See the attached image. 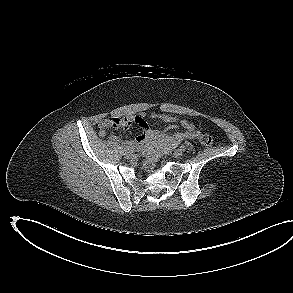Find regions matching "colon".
Returning a JSON list of instances; mask_svg holds the SVG:
<instances>
[{"label":"colon","mask_w":293,"mask_h":293,"mask_svg":"<svg viewBox=\"0 0 293 293\" xmlns=\"http://www.w3.org/2000/svg\"><path fill=\"white\" fill-rule=\"evenodd\" d=\"M200 142L206 147H210L213 144V138L209 134H202L200 136ZM175 146L171 143H166L164 145L158 146L156 148L150 149L146 160L144 162V170L149 172L156 161L162 156L169 154Z\"/></svg>","instance_id":"colon-1"}]
</instances>
